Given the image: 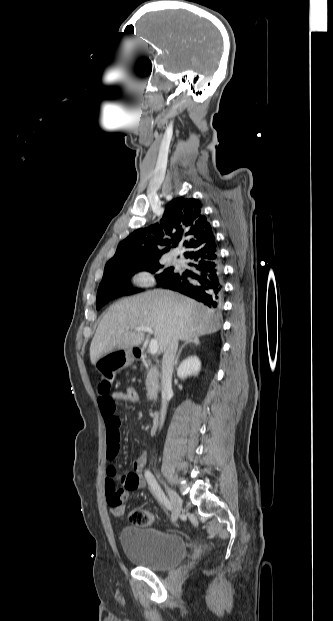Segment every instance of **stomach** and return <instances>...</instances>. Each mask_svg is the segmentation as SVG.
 <instances>
[{
    "label": "stomach",
    "mask_w": 333,
    "mask_h": 621,
    "mask_svg": "<svg viewBox=\"0 0 333 621\" xmlns=\"http://www.w3.org/2000/svg\"><path fill=\"white\" fill-rule=\"evenodd\" d=\"M134 361L132 349L114 347L108 354L100 358L95 368L101 375L114 374Z\"/></svg>",
    "instance_id": "1"
}]
</instances>
